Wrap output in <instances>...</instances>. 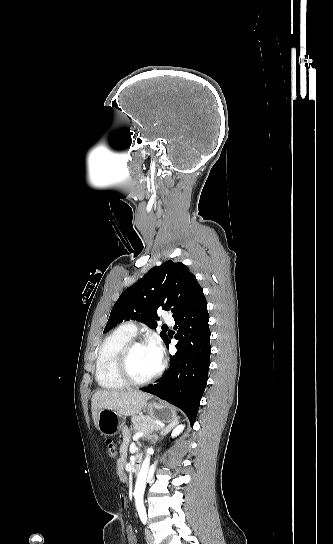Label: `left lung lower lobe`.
I'll list each match as a JSON object with an SVG mask.
<instances>
[{"mask_svg": "<svg viewBox=\"0 0 333 544\" xmlns=\"http://www.w3.org/2000/svg\"><path fill=\"white\" fill-rule=\"evenodd\" d=\"M177 330V352L170 358V367L157 384L142 388L177 406L194 424L204 393L210 365V329L207 301L202 293L174 316ZM166 346L170 344L167 337Z\"/></svg>", "mask_w": 333, "mask_h": 544, "instance_id": "obj_1", "label": "left lung lower lobe"}]
</instances>
